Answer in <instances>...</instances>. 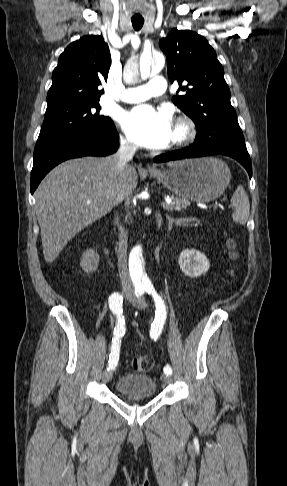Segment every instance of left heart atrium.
Listing matches in <instances>:
<instances>
[{"label":"left heart atrium","mask_w":287,"mask_h":486,"mask_svg":"<svg viewBox=\"0 0 287 486\" xmlns=\"http://www.w3.org/2000/svg\"><path fill=\"white\" fill-rule=\"evenodd\" d=\"M120 123L132 141L150 149L166 147L173 137L170 114L150 105H138L126 111Z\"/></svg>","instance_id":"left-heart-atrium-1"}]
</instances>
